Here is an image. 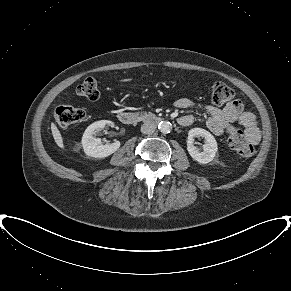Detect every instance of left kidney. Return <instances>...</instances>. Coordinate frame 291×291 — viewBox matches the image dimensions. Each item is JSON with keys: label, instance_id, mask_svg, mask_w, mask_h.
I'll use <instances>...</instances> for the list:
<instances>
[{"label": "left kidney", "instance_id": "left-kidney-1", "mask_svg": "<svg viewBox=\"0 0 291 291\" xmlns=\"http://www.w3.org/2000/svg\"><path fill=\"white\" fill-rule=\"evenodd\" d=\"M195 137H203L205 139V144L203 145L202 151H199V149L194 146ZM217 150V142L214 136L207 130L202 128H193L188 132L187 151L193 160L200 164H207L214 159Z\"/></svg>", "mask_w": 291, "mask_h": 291}]
</instances>
